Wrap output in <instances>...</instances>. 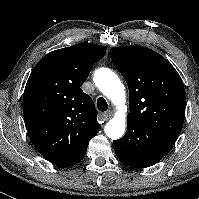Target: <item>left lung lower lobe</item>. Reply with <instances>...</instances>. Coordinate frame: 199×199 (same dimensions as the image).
<instances>
[{"label":"left lung lower lobe","mask_w":199,"mask_h":199,"mask_svg":"<svg viewBox=\"0 0 199 199\" xmlns=\"http://www.w3.org/2000/svg\"><path fill=\"white\" fill-rule=\"evenodd\" d=\"M176 140L153 131L135 121H127L126 134L113 142L118 159L133 168L156 164L172 148Z\"/></svg>","instance_id":"0a47b994"}]
</instances>
